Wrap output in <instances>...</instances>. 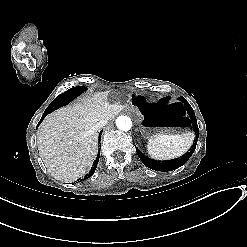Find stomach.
I'll list each match as a JSON object with an SVG mask.
<instances>
[{
	"label": "stomach",
	"mask_w": 247,
	"mask_h": 247,
	"mask_svg": "<svg viewBox=\"0 0 247 247\" xmlns=\"http://www.w3.org/2000/svg\"><path fill=\"white\" fill-rule=\"evenodd\" d=\"M131 101L139 115L143 136L175 135L188 131L187 115L179 102L168 98L156 101L141 94L132 95Z\"/></svg>",
	"instance_id": "0dacf381"
}]
</instances>
